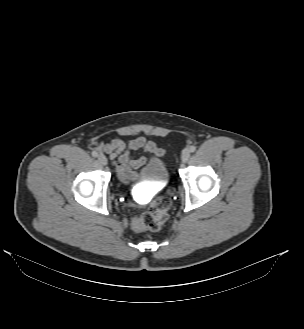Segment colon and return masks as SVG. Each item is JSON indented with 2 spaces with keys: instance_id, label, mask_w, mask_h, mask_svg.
I'll use <instances>...</instances> for the list:
<instances>
[{
  "instance_id": "1",
  "label": "colon",
  "mask_w": 304,
  "mask_h": 329,
  "mask_svg": "<svg viewBox=\"0 0 304 329\" xmlns=\"http://www.w3.org/2000/svg\"><path fill=\"white\" fill-rule=\"evenodd\" d=\"M170 204V199L167 196L155 198L150 203L149 211L131 220V228L135 231L160 230L167 219Z\"/></svg>"
}]
</instances>
